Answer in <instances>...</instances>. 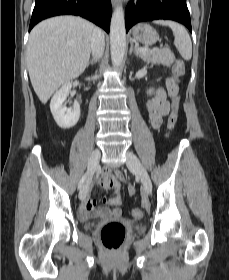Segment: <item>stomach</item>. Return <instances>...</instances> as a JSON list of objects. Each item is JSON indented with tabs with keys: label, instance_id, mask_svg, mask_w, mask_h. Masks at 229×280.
Listing matches in <instances>:
<instances>
[{
	"label": "stomach",
	"instance_id": "stomach-1",
	"mask_svg": "<svg viewBox=\"0 0 229 280\" xmlns=\"http://www.w3.org/2000/svg\"><path fill=\"white\" fill-rule=\"evenodd\" d=\"M133 38L143 45L150 46L155 44L158 39L156 30L148 24H138L132 30Z\"/></svg>",
	"mask_w": 229,
	"mask_h": 280
}]
</instances>
